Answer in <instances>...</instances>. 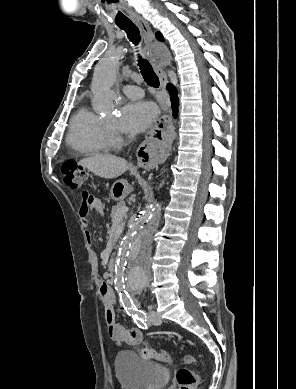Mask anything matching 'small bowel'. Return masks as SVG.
Here are the masks:
<instances>
[{"mask_svg":"<svg viewBox=\"0 0 296 389\" xmlns=\"http://www.w3.org/2000/svg\"><path fill=\"white\" fill-rule=\"evenodd\" d=\"M92 210L103 212L102 201L91 194L84 192L79 208L81 222L84 226L89 224V215ZM90 239V234L87 232ZM100 297L104 305V315L110 338L118 345H137L142 340V332L138 328H127L116 321L115 318V294L111 286L102 282L99 288Z\"/></svg>","mask_w":296,"mask_h":389,"instance_id":"obj_1","label":"small bowel"}]
</instances>
